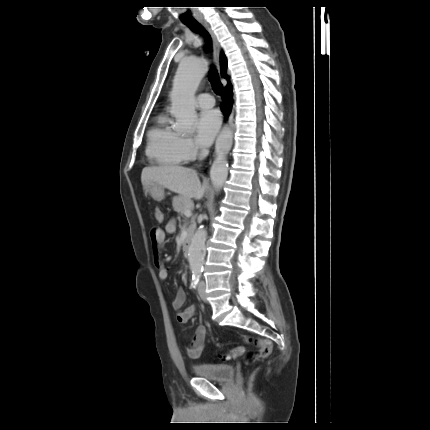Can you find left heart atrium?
<instances>
[{
    "label": "left heart atrium",
    "instance_id": "obj_1",
    "mask_svg": "<svg viewBox=\"0 0 430 430\" xmlns=\"http://www.w3.org/2000/svg\"><path fill=\"white\" fill-rule=\"evenodd\" d=\"M221 124L220 114L216 110H206L199 114L195 128L196 140L201 146H209Z\"/></svg>",
    "mask_w": 430,
    "mask_h": 430
}]
</instances>
